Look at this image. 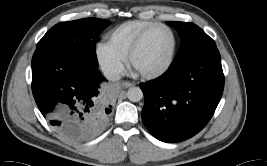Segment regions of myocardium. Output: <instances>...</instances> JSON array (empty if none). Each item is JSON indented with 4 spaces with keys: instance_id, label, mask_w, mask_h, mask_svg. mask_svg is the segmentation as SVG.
Wrapping results in <instances>:
<instances>
[{
    "instance_id": "f54148a6",
    "label": "myocardium",
    "mask_w": 267,
    "mask_h": 166,
    "mask_svg": "<svg viewBox=\"0 0 267 166\" xmlns=\"http://www.w3.org/2000/svg\"><path fill=\"white\" fill-rule=\"evenodd\" d=\"M160 28H164L167 29L171 35H172V39H173V46H172V51L169 57V60L167 61V63L160 69L156 70V71H152V72H139V74L141 75V77L146 78V79H154L157 78L161 75H163L164 73H166L170 67L173 64L175 55H176V50H177V36L175 34V32L173 31V29L163 23H158L155 24L154 26L150 27L149 29H147L145 32H143L137 39L136 41L133 43V45L131 46V48L129 49V52L126 56L127 58V63L130 67H133L132 61L134 56L136 55V53L139 51V49L141 48L143 42L145 41V39L147 38V36L152 33L153 31L160 29Z\"/></svg>"
}]
</instances>
